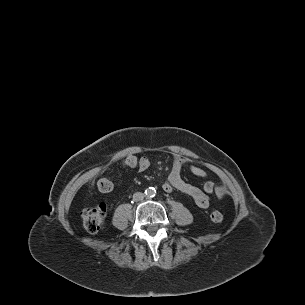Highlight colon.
Instances as JSON below:
<instances>
[{
  "mask_svg": "<svg viewBox=\"0 0 305 305\" xmlns=\"http://www.w3.org/2000/svg\"><path fill=\"white\" fill-rule=\"evenodd\" d=\"M140 158L135 152H128L123 156L118 167L127 170L139 165ZM98 188L101 192H109L113 189V182L111 178L105 176L98 181ZM83 224L85 229L90 233H96L99 231L105 221L106 206L100 204L96 207L86 208L81 213ZM210 220L212 223H219L223 219V215L218 210L211 211Z\"/></svg>",
  "mask_w": 305,
  "mask_h": 305,
  "instance_id": "colon-1",
  "label": "colon"
}]
</instances>
